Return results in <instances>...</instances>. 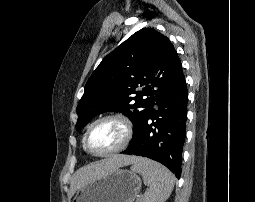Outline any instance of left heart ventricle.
Instances as JSON below:
<instances>
[{
	"instance_id": "obj_1",
	"label": "left heart ventricle",
	"mask_w": 255,
	"mask_h": 202,
	"mask_svg": "<svg viewBox=\"0 0 255 202\" xmlns=\"http://www.w3.org/2000/svg\"><path fill=\"white\" fill-rule=\"evenodd\" d=\"M123 135L124 131L120 123L116 121H105L91 131L89 146L95 152H107L121 143Z\"/></svg>"
}]
</instances>
